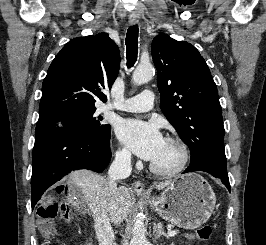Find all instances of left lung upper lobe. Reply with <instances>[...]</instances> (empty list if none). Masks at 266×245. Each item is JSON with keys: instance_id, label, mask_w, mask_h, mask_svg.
I'll use <instances>...</instances> for the list:
<instances>
[{"instance_id": "5c2ea615", "label": "left lung upper lobe", "mask_w": 266, "mask_h": 245, "mask_svg": "<svg viewBox=\"0 0 266 245\" xmlns=\"http://www.w3.org/2000/svg\"><path fill=\"white\" fill-rule=\"evenodd\" d=\"M163 114L191 151L190 165L226 167L224 126L216 84L199 51L159 34L152 41Z\"/></svg>"}]
</instances>
